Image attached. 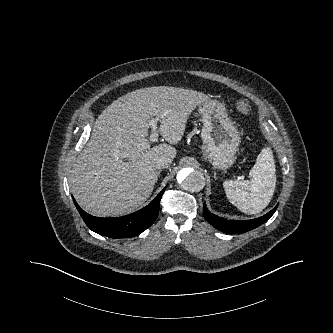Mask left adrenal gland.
<instances>
[{
	"instance_id": "obj_1",
	"label": "left adrenal gland",
	"mask_w": 333,
	"mask_h": 333,
	"mask_svg": "<svg viewBox=\"0 0 333 333\" xmlns=\"http://www.w3.org/2000/svg\"><path fill=\"white\" fill-rule=\"evenodd\" d=\"M216 174H217V173H216V172H214V178H215V179H217V176H216Z\"/></svg>"
}]
</instances>
